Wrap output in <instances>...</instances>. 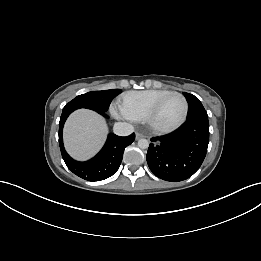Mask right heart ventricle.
I'll use <instances>...</instances> for the list:
<instances>
[{
	"label": "right heart ventricle",
	"instance_id": "obj_1",
	"mask_svg": "<svg viewBox=\"0 0 261 261\" xmlns=\"http://www.w3.org/2000/svg\"><path fill=\"white\" fill-rule=\"evenodd\" d=\"M169 92L170 91L166 89H148L126 92L120 98V112L127 119L142 121L150 107L160 97Z\"/></svg>",
	"mask_w": 261,
	"mask_h": 261
}]
</instances>
